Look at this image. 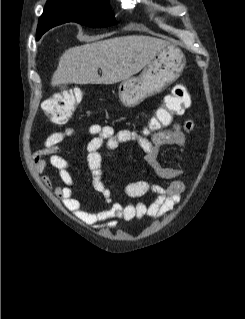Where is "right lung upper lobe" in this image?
Instances as JSON below:
<instances>
[{"mask_svg": "<svg viewBox=\"0 0 245 319\" xmlns=\"http://www.w3.org/2000/svg\"><path fill=\"white\" fill-rule=\"evenodd\" d=\"M52 1H57V0H48L46 5H48V3ZM55 25H57V23L56 21L51 19L50 10H44L43 15L39 19V24H38L39 28L46 29V28L53 27ZM39 35L40 33H37V36Z\"/></svg>", "mask_w": 245, "mask_h": 319, "instance_id": "obj_1", "label": "right lung upper lobe"}]
</instances>
